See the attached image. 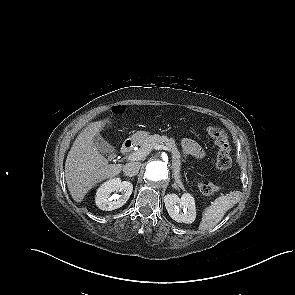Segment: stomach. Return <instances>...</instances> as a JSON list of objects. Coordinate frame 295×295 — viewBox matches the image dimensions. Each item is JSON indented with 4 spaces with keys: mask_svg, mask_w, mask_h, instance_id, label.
<instances>
[{
    "mask_svg": "<svg viewBox=\"0 0 295 295\" xmlns=\"http://www.w3.org/2000/svg\"><path fill=\"white\" fill-rule=\"evenodd\" d=\"M150 137L148 132L138 131L132 135L131 140L135 143L141 144L145 142Z\"/></svg>",
    "mask_w": 295,
    "mask_h": 295,
    "instance_id": "1",
    "label": "stomach"
}]
</instances>
